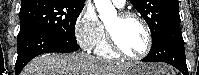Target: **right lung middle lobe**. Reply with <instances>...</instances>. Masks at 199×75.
<instances>
[{
  "instance_id": "obj_1",
  "label": "right lung middle lobe",
  "mask_w": 199,
  "mask_h": 75,
  "mask_svg": "<svg viewBox=\"0 0 199 75\" xmlns=\"http://www.w3.org/2000/svg\"><path fill=\"white\" fill-rule=\"evenodd\" d=\"M84 4L63 0H43L21 4L20 32L39 29L71 42L75 38V24Z\"/></svg>"
}]
</instances>
